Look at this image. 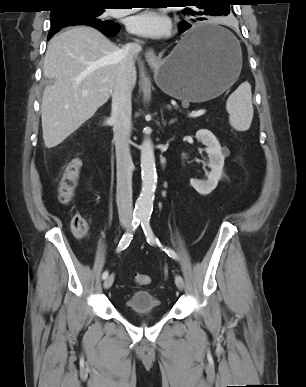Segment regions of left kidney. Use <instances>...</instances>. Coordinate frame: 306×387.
Returning a JSON list of instances; mask_svg holds the SVG:
<instances>
[{
  "label": "left kidney",
  "mask_w": 306,
  "mask_h": 387,
  "mask_svg": "<svg viewBox=\"0 0 306 387\" xmlns=\"http://www.w3.org/2000/svg\"><path fill=\"white\" fill-rule=\"evenodd\" d=\"M196 138L206 146V153L209 158L208 167L211 171L207 176V180L192 178L190 184L198 193L208 195L216 188L221 178L225 157L222 154L219 141L211 131L200 129L196 132Z\"/></svg>",
  "instance_id": "left-kidney-1"
}]
</instances>
